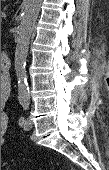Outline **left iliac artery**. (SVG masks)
I'll return each mask as SVG.
<instances>
[{"label": "left iliac artery", "instance_id": "1", "mask_svg": "<svg viewBox=\"0 0 109 170\" xmlns=\"http://www.w3.org/2000/svg\"><path fill=\"white\" fill-rule=\"evenodd\" d=\"M23 107H24V109H27V105H23ZM24 121H25L24 117H21L18 121L19 125L22 126Z\"/></svg>", "mask_w": 109, "mask_h": 170}]
</instances>
